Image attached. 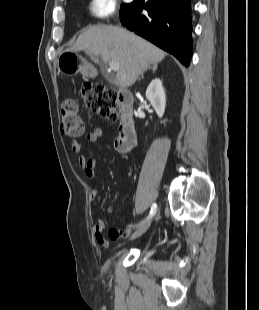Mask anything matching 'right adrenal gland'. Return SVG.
<instances>
[{"instance_id": "obj_1", "label": "right adrenal gland", "mask_w": 259, "mask_h": 310, "mask_svg": "<svg viewBox=\"0 0 259 310\" xmlns=\"http://www.w3.org/2000/svg\"><path fill=\"white\" fill-rule=\"evenodd\" d=\"M157 67H158V65H157V64H154L152 67H147V68H145V69L141 72V78L143 77V74H144L147 70H149V69H152L153 73H155L156 70H157Z\"/></svg>"}]
</instances>
